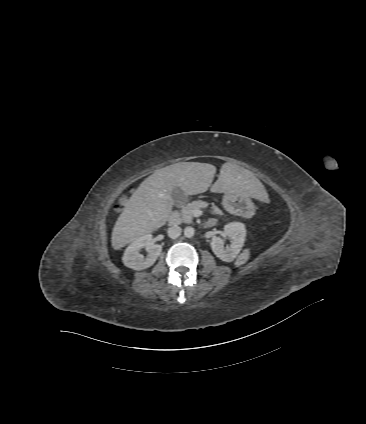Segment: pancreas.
Returning <instances> with one entry per match:
<instances>
[{
	"label": "pancreas",
	"instance_id": "1",
	"mask_svg": "<svg viewBox=\"0 0 366 424\" xmlns=\"http://www.w3.org/2000/svg\"><path fill=\"white\" fill-rule=\"evenodd\" d=\"M208 206L206 202L203 201H194L192 203H188L187 205L183 206L180 212L181 220L184 223H192L193 222V213L196 210L205 209ZM211 214L217 215V216H223V212L215 205L211 206L210 210Z\"/></svg>",
	"mask_w": 366,
	"mask_h": 424
}]
</instances>
